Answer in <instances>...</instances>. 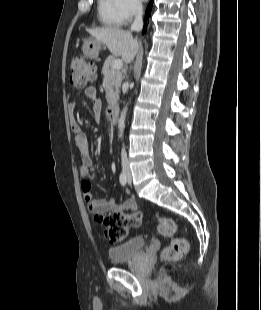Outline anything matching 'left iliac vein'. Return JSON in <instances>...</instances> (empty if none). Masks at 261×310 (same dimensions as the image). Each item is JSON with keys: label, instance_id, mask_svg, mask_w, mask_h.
Wrapping results in <instances>:
<instances>
[{"label": "left iliac vein", "instance_id": "4c4485c4", "mask_svg": "<svg viewBox=\"0 0 261 310\" xmlns=\"http://www.w3.org/2000/svg\"><path fill=\"white\" fill-rule=\"evenodd\" d=\"M127 179H128V183L131 184L132 182V177H131V173L129 170H127Z\"/></svg>", "mask_w": 261, "mask_h": 310}]
</instances>
